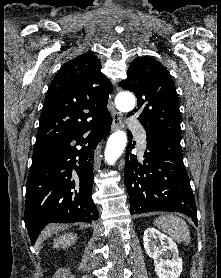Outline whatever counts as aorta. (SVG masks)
<instances>
[{
  "label": "aorta",
  "mask_w": 221,
  "mask_h": 278,
  "mask_svg": "<svg viewBox=\"0 0 221 278\" xmlns=\"http://www.w3.org/2000/svg\"><path fill=\"white\" fill-rule=\"evenodd\" d=\"M115 105L122 112L131 111L135 106V97L131 93H121L115 99ZM127 143V135L124 131L118 130L113 133L108 141L104 152L105 161L108 164L114 163L123 153Z\"/></svg>",
  "instance_id": "762f6f07"
}]
</instances>
